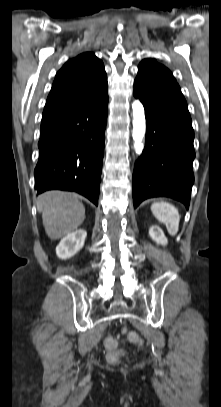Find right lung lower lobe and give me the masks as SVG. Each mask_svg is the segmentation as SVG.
I'll return each instance as SVG.
<instances>
[{
	"mask_svg": "<svg viewBox=\"0 0 221 407\" xmlns=\"http://www.w3.org/2000/svg\"><path fill=\"white\" fill-rule=\"evenodd\" d=\"M107 106L106 91L84 104L43 114L34 171L38 193L75 191L98 205Z\"/></svg>",
	"mask_w": 221,
	"mask_h": 407,
	"instance_id": "right-lung-lower-lobe-1",
	"label": "right lung lower lobe"
}]
</instances>
